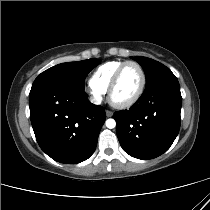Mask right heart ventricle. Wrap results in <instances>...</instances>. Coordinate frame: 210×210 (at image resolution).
Returning a JSON list of instances; mask_svg holds the SVG:
<instances>
[{"label":"right heart ventricle","instance_id":"obj_1","mask_svg":"<svg viewBox=\"0 0 210 210\" xmlns=\"http://www.w3.org/2000/svg\"><path fill=\"white\" fill-rule=\"evenodd\" d=\"M125 61L113 60L100 65L91 75L90 84L101 92L108 90L112 77L118 67Z\"/></svg>","mask_w":210,"mask_h":210}]
</instances>
